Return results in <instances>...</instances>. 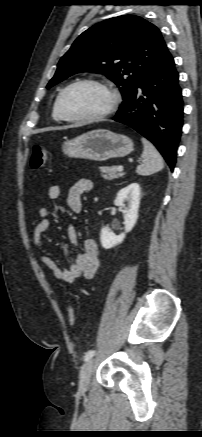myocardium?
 Instances as JSON below:
<instances>
[{
  "instance_id": "myocardium-1",
  "label": "myocardium",
  "mask_w": 202,
  "mask_h": 437,
  "mask_svg": "<svg viewBox=\"0 0 202 437\" xmlns=\"http://www.w3.org/2000/svg\"><path fill=\"white\" fill-rule=\"evenodd\" d=\"M82 84H90V85L97 86V87L103 89L109 95V97H110L109 104L102 112L95 114V115L84 116V117H74V116H70L66 113V111L64 110V107H63V100H64L65 95L72 88H74L78 85H82ZM119 103H120L119 92L113 86H111L107 83H104L102 81L96 80V79L83 78V79H78V80L70 83L59 93L58 98H57V109H58V112L63 120L73 122V123H94V122L102 121V120L106 119L107 117H109L110 115H112L115 112V110L117 109Z\"/></svg>"
}]
</instances>
